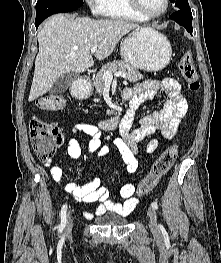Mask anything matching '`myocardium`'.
I'll use <instances>...</instances> for the list:
<instances>
[{
    "label": "myocardium",
    "mask_w": 221,
    "mask_h": 263,
    "mask_svg": "<svg viewBox=\"0 0 221 263\" xmlns=\"http://www.w3.org/2000/svg\"><path fill=\"white\" fill-rule=\"evenodd\" d=\"M130 6L144 19V20H151V19H156L159 18L160 16H162L163 14H165L167 12V10L169 9L170 6V0H165V6L162 9V11L158 12V13H154V14H148L146 13L141 4H140V0H128Z\"/></svg>",
    "instance_id": "obj_1"
}]
</instances>
